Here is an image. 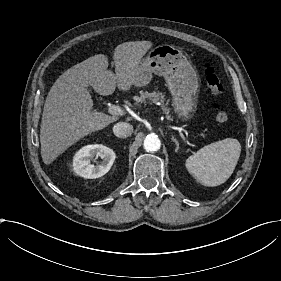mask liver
<instances>
[{"label":"liver","instance_id":"1","mask_svg":"<svg viewBox=\"0 0 281 281\" xmlns=\"http://www.w3.org/2000/svg\"><path fill=\"white\" fill-rule=\"evenodd\" d=\"M151 46L150 41L118 45L113 56L115 73L107 69V56L98 54L59 76L46 97L40 125L41 157L46 165L81 138L118 120V116L92 111L87 87L102 96L113 94L116 87L130 90L135 84L136 66Z\"/></svg>","mask_w":281,"mask_h":281}]
</instances>
